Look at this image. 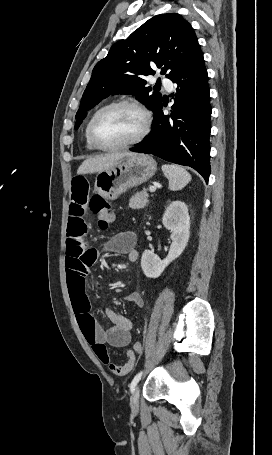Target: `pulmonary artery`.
I'll return each instance as SVG.
<instances>
[{"mask_svg": "<svg viewBox=\"0 0 272 455\" xmlns=\"http://www.w3.org/2000/svg\"><path fill=\"white\" fill-rule=\"evenodd\" d=\"M162 84L165 86V88L167 90H171V88L173 86L172 81L170 79H168V78H165V77L162 78Z\"/></svg>", "mask_w": 272, "mask_h": 455, "instance_id": "e3ab8cb5", "label": "pulmonary artery"}]
</instances>
